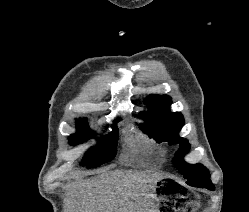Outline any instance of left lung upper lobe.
I'll use <instances>...</instances> for the list:
<instances>
[{
  "mask_svg": "<svg viewBox=\"0 0 249 212\" xmlns=\"http://www.w3.org/2000/svg\"><path fill=\"white\" fill-rule=\"evenodd\" d=\"M144 103L148 105L149 111L140 114L146 122L141 129L150 137H154L158 143H179L180 149L175 153L174 162L180 173L188 180L186 183L194 187L212 183L206 167L202 164L190 165L181 159L189 152L190 145L178 135L184 125V119L181 113L169 111L171 98L167 95H149Z\"/></svg>",
  "mask_w": 249,
  "mask_h": 212,
  "instance_id": "5c2ea615",
  "label": "left lung upper lobe"
}]
</instances>
